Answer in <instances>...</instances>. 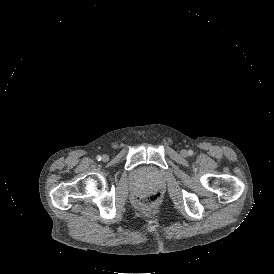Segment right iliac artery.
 Returning a JSON list of instances; mask_svg holds the SVG:
<instances>
[{
    "instance_id": "1",
    "label": "right iliac artery",
    "mask_w": 274,
    "mask_h": 274,
    "mask_svg": "<svg viewBox=\"0 0 274 274\" xmlns=\"http://www.w3.org/2000/svg\"><path fill=\"white\" fill-rule=\"evenodd\" d=\"M96 159H97L98 161H100V160H101V156L98 155V156L96 157Z\"/></svg>"
}]
</instances>
